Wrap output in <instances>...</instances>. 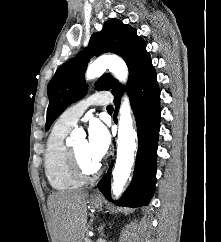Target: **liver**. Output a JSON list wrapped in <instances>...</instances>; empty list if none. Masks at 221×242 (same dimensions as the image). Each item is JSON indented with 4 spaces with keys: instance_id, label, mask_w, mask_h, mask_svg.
Here are the masks:
<instances>
[{
    "instance_id": "6515ba94",
    "label": "liver",
    "mask_w": 221,
    "mask_h": 242,
    "mask_svg": "<svg viewBox=\"0 0 221 242\" xmlns=\"http://www.w3.org/2000/svg\"><path fill=\"white\" fill-rule=\"evenodd\" d=\"M88 193H53L48 206L53 226V242H82L87 223Z\"/></svg>"
}]
</instances>
